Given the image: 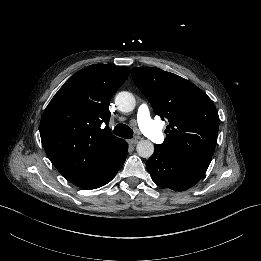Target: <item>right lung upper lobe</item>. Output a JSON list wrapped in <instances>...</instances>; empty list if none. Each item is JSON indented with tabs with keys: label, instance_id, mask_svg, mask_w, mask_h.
Listing matches in <instances>:
<instances>
[{
	"label": "right lung upper lobe",
	"instance_id": "cb5924a9",
	"mask_svg": "<svg viewBox=\"0 0 261 261\" xmlns=\"http://www.w3.org/2000/svg\"><path fill=\"white\" fill-rule=\"evenodd\" d=\"M129 73L125 66L90 65L70 77L45 109L41 141L68 181L98 170L126 144L108 124L110 99Z\"/></svg>",
	"mask_w": 261,
	"mask_h": 261
}]
</instances>
